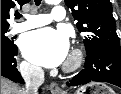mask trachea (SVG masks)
<instances>
[{"instance_id": "1", "label": "trachea", "mask_w": 121, "mask_h": 94, "mask_svg": "<svg viewBox=\"0 0 121 94\" xmlns=\"http://www.w3.org/2000/svg\"><path fill=\"white\" fill-rule=\"evenodd\" d=\"M40 3H41V0H35V4H36V6H39ZM15 18H16V19L21 18V14H16V15H15Z\"/></svg>"}]
</instances>
